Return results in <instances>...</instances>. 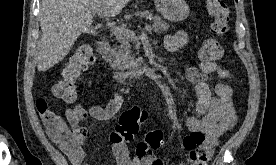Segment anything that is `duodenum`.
<instances>
[{"label":"duodenum","mask_w":276,"mask_h":165,"mask_svg":"<svg viewBox=\"0 0 276 165\" xmlns=\"http://www.w3.org/2000/svg\"><path fill=\"white\" fill-rule=\"evenodd\" d=\"M97 51L101 54H105L108 50L109 44L106 37L102 36L99 38L97 42ZM147 69L144 68H135L126 73H118L119 78L132 77V78H142L146 75Z\"/></svg>","instance_id":"1"}]
</instances>
